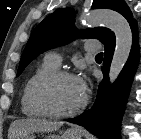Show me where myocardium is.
<instances>
[{"label": "myocardium", "instance_id": "myocardium-1", "mask_svg": "<svg viewBox=\"0 0 141 139\" xmlns=\"http://www.w3.org/2000/svg\"><path fill=\"white\" fill-rule=\"evenodd\" d=\"M62 78H76L79 79L77 75L68 70H56L49 75H47L38 85L36 90V98L39 106L49 117L53 118H67L72 117L80 113L87 105L88 95L85 92L83 100L81 103L72 110L69 111H58L56 110L51 102V88L52 86Z\"/></svg>", "mask_w": 141, "mask_h": 139}]
</instances>
